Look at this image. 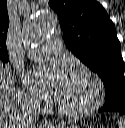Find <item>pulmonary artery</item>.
Here are the masks:
<instances>
[{
    "instance_id": "pulmonary-artery-1",
    "label": "pulmonary artery",
    "mask_w": 125,
    "mask_h": 128,
    "mask_svg": "<svg viewBox=\"0 0 125 128\" xmlns=\"http://www.w3.org/2000/svg\"><path fill=\"white\" fill-rule=\"evenodd\" d=\"M63 48L58 37H51L46 40L44 46L30 50L27 56L36 61L45 60L48 58L59 57L62 55Z\"/></svg>"
}]
</instances>
